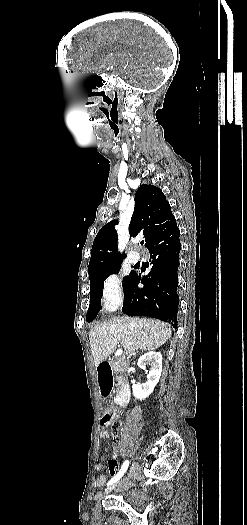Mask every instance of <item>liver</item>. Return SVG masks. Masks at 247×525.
Masks as SVG:
<instances>
[{"label":"liver","mask_w":247,"mask_h":525,"mask_svg":"<svg viewBox=\"0 0 247 525\" xmlns=\"http://www.w3.org/2000/svg\"><path fill=\"white\" fill-rule=\"evenodd\" d=\"M171 335V325L158 319L117 317L93 325L89 339L95 367L106 361L118 347L124 349V355L134 353L137 349L156 351Z\"/></svg>","instance_id":"6515ba94"}]
</instances>
